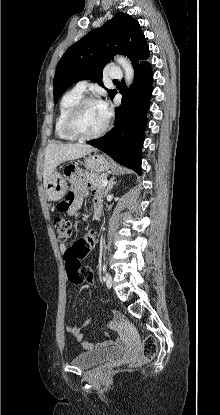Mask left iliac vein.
Wrapping results in <instances>:
<instances>
[{
    "instance_id": "obj_1",
    "label": "left iliac vein",
    "mask_w": 220,
    "mask_h": 415,
    "mask_svg": "<svg viewBox=\"0 0 220 415\" xmlns=\"http://www.w3.org/2000/svg\"><path fill=\"white\" fill-rule=\"evenodd\" d=\"M104 280H105V284H106V286H107L108 288H111V286H112V277H111V275H110L109 273H106V274H105V278H104Z\"/></svg>"
}]
</instances>
